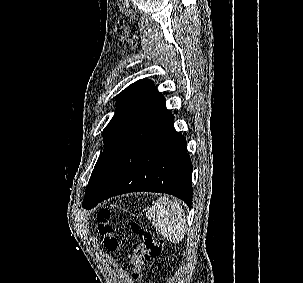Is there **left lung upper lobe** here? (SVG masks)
I'll return each instance as SVG.
<instances>
[{"mask_svg":"<svg viewBox=\"0 0 303 283\" xmlns=\"http://www.w3.org/2000/svg\"><path fill=\"white\" fill-rule=\"evenodd\" d=\"M158 96L154 82L148 79L132 83L118 95V109L103 131L104 150L91 174L85 196L93 194L103 184Z\"/></svg>","mask_w":303,"mask_h":283,"instance_id":"left-lung-upper-lobe-1","label":"left lung upper lobe"}]
</instances>
